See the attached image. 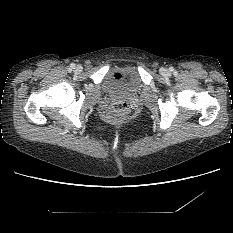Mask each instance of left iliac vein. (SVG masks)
<instances>
[{
  "mask_svg": "<svg viewBox=\"0 0 233 233\" xmlns=\"http://www.w3.org/2000/svg\"><path fill=\"white\" fill-rule=\"evenodd\" d=\"M161 73H162L163 75H166V74L168 73V71H167V69L163 68V69L161 70Z\"/></svg>",
  "mask_w": 233,
  "mask_h": 233,
  "instance_id": "1",
  "label": "left iliac vein"
}]
</instances>
